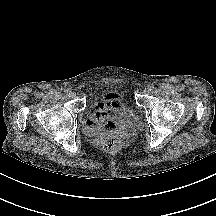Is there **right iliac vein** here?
Listing matches in <instances>:
<instances>
[{
    "mask_svg": "<svg viewBox=\"0 0 216 216\" xmlns=\"http://www.w3.org/2000/svg\"><path fill=\"white\" fill-rule=\"evenodd\" d=\"M75 96H76V93H75V92H71V93H70V97L73 98V97H75Z\"/></svg>",
    "mask_w": 216,
    "mask_h": 216,
    "instance_id": "right-iliac-vein-1",
    "label": "right iliac vein"
}]
</instances>
